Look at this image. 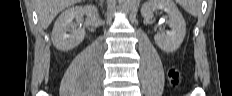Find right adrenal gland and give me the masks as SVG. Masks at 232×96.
Returning a JSON list of instances; mask_svg holds the SVG:
<instances>
[{"label":"right adrenal gland","mask_w":232,"mask_h":96,"mask_svg":"<svg viewBox=\"0 0 232 96\" xmlns=\"http://www.w3.org/2000/svg\"><path fill=\"white\" fill-rule=\"evenodd\" d=\"M95 1H99V5L101 8H103V3H104V0H95Z\"/></svg>","instance_id":"obj_1"}]
</instances>
